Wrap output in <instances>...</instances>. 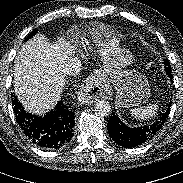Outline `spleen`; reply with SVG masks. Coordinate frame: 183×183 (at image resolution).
Listing matches in <instances>:
<instances>
[{"label":"spleen","instance_id":"1","mask_svg":"<svg viewBox=\"0 0 183 183\" xmlns=\"http://www.w3.org/2000/svg\"><path fill=\"white\" fill-rule=\"evenodd\" d=\"M157 107L156 104H149L145 107L132 109L130 112L137 120H148L156 115Z\"/></svg>","mask_w":183,"mask_h":183}]
</instances>
